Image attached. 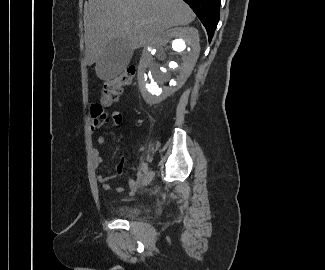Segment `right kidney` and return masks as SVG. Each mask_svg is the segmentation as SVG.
I'll list each match as a JSON object with an SVG mask.
<instances>
[{"mask_svg": "<svg viewBox=\"0 0 325 270\" xmlns=\"http://www.w3.org/2000/svg\"><path fill=\"white\" fill-rule=\"evenodd\" d=\"M199 52V33L193 27L169 29L148 46L143 51L137 75L144 100L152 105L171 96L190 76ZM167 82L169 86H165Z\"/></svg>", "mask_w": 325, "mask_h": 270, "instance_id": "ca27d5eb", "label": "right kidney"}]
</instances>
